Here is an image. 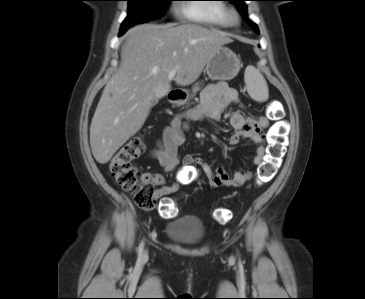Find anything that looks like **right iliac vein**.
<instances>
[{"label": "right iliac vein", "instance_id": "1", "mask_svg": "<svg viewBox=\"0 0 365 299\" xmlns=\"http://www.w3.org/2000/svg\"><path fill=\"white\" fill-rule=\"evenodd\" d=\"M147 258V253L145 252L143 255H142V260L145 261Z\"/></svg>", "mask_w": 365, "mask_h": 299}]
</instances>
